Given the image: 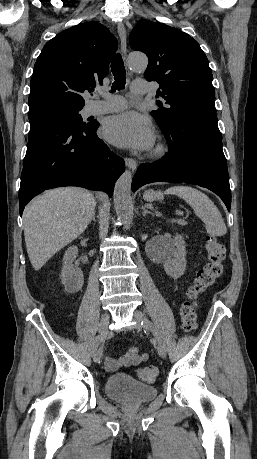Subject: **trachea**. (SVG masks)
I'll list each match as a JSON object with an SVG mask.
<instances>
[{
	"instance_id": "3493384b",
	"label": "trachea",
	"mask_w": 257,
	"mask_h": 459,
	"mask_svg": "<svg viewBox=\"0 0 257 459\" xmlns=\"http://www.w3.org/2000/svg\"><path fill=\"white\" fill-rule=\"evenodd\" d=\"M111 70L115 80L111 87V92L123 89L126 84V73L122 56L119 53L114 57L111 63Z\"/></svg>"
}]
</instances>
